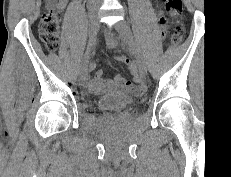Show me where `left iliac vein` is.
Listing matches in <instances>:
<instances>
[{"mask_svg": "<svg viewBox=\"0 0 231 177\" xmlns=\"http://www.w3.org/2000/svg\"><path fill=\"white\" fill-rule=\"evenodd\" d=\"M115 28L118 31V33L120 34V36H121L122 40L125 42V44H127L128 46H130L134 49L136 57H137V61H138L139 71L142 75H145L147 72L146 63H145L144 57H143L140 49L138 48V46L134 40V37H133V34L131 32L129 24L125 20H122V21L116 23Z\"/></svg>", "mask_w": 231, "mask_h": 177, "instance_id": "left-iliac-vein-1", "label": "left iliac vein"}]
</instances>
